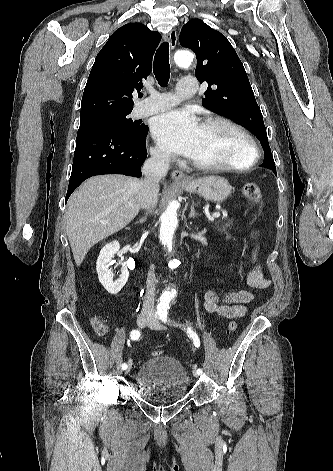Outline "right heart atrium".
<instances>
[{
  "mask_svg": "<svg viewBox=\"0 0 333 471\" xmlns=\"http://www.w3.org/2000/svg\"><path fill=\"white\" fill-rule=\"evenodd\" d=\"M151 153L154 160L160 164L166 165L169 164L172 160V156L158 146L152 148Z\"/></svg>",
  "mask_w": 333,
  "mask_h": 471,
  "instance_id": "1",
  "label": "right heart atrium"
}]
</instances>
